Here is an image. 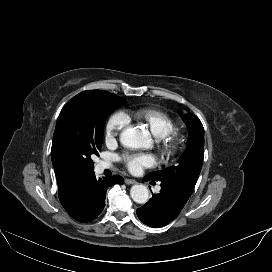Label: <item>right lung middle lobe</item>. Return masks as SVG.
<instances>
[{"label":"right lung middle lobe","instance_id":"right-lung-middle-lobe-1","mask_svg":"<svg viewBox=\"0 0 272 272\" xmlns=\"http://www.w3.org/2000/svg\"><path fill=\"white\" fill-rule=\"evenodd\" d=\"M126 100L103 90L83 91L61 110L52 149L64 157L78 174L94 172L92 158L99 155L106 119Z\"/></svg>","mask_w":272,"mask_h":272}]
</instances>
